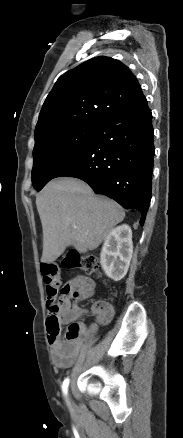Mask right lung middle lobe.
<instances>
[{"label": "right lung middle lobe", "mask_w": 183, "mask_h": 438, "mask_svg": "<svg viewBox=\"0 0 183 438\" xmlns=\"http://www.w3.org/2000/svg\"><path fill=\"white\" fill-rule=\"evenodd\" d=\"M96 126L80 125L43 134L35 139L32 185L41 190L91 141Z\"/></svg>", "instance_id": "dd1d6c3e"}]
</instances>
